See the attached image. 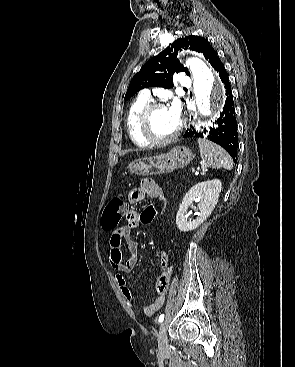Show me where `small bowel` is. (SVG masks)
<instances>
[{"mask_svg":"<svg viewBox=\"0 0 295 367\" xmlns=\"http://www.w3.org/2000/svg\"><path fill=\"white\" fill-rule=\"evenodd\" d=\"M156 195H162L161 187L152 179H144L139 187L133 189L129 195L131 203H139L146 197L153 198ZM156 206V205H155ZM141 221L137 208H129L127 214V223L113 230L109 240V262L117 272L116 280L123 296L129 304L138 306L130 289L127 286L124 274L131 273L138 260V242L132 237V230L136 228ZM127 247V254H123L122 244ZM160 274L156 282L158 296L149 305L142 308L143 314L150 316L158 311L164 304L165 295L170 281L169 257L163 250L159 252Z\"/></svg>","mask_w":295,"mask_h":367,"instance_id":"c3829d8e","label":"small bowel"}]
</instances>
